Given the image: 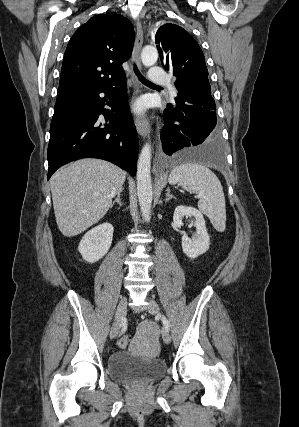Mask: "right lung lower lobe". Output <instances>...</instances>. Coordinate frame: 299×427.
Wrapping results in <instances>:
<instances>
[{"mask_svg":"<svg viewBox=\"0 0 299 427\" xmlns=\"http://www.w3.org/2000/svg\"><path fill=\"white\" fill-rule=\"evenodd\" d=\"M118 83L56 102L47 151L48 180L62 165L86 157L110 161L135 175L138 137L128 109L126 83L123 80L114 88ZM102 92L111 110L104 109L107 100L99 96ZM101 114L109 123L100 122Z\"/></svg>","mask_w":299,"mask_h":427,"instance_id":"obj_1","label":"right lung lower lobe"}]
</instances>
